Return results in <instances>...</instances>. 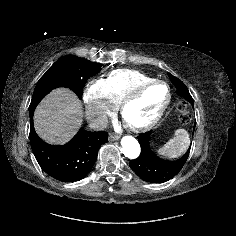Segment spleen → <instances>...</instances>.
Returning <instances> with one entry per match:
<instances>
[{
    "label": "spleen",
    "instance_id": "spleen-1",
    "mask_svg": "<svg viewBox=\"0 0 236 236\" xmlns=\"http://www.w3.org/2000/svg\"><path fill=\"white\" fill-rule=\"evenodd\" d=\"M190 145L189 134L185 129H177L175 136L156 152L158 155L175 159L186 152Z\"/></svg>",
    "mask_w": 236,
    "mask_h": 236
}]
</instances>
